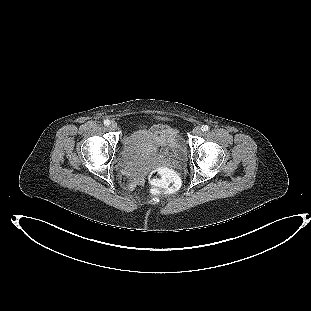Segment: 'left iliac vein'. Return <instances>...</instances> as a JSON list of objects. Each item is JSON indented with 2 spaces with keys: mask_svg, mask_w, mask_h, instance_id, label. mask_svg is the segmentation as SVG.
I'll use <instances>...</instances> for the list:
<instances>
[{
  "mask_svg": "<svg viewBox=\"0 0 311 311\" xmlns=\"http://www.w3.org/2000/svg\"><path fill=\"white\" fill-rule=\"evenodd\" d=\"M192 133L194 135H200L202 133V129L199 126L193 128Z\"/></svg>",
  "mask_w": 311,
  "mask_h": 311,
  "instance_id": "1",
  "label": "left iliac vein"
}]
</instances>
